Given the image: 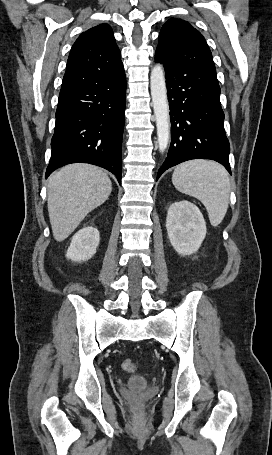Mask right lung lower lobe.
Instances as JSON below:
<instances>
[{
	"label": "right lung lower lobe",
	"instance_id": "obj_1",
	"mask_svg": "<svg viewBox=\"0 0 272 455\" xmlns=\"http://www.w3.org/2000/svg\"><path fill=\"white\" fill-rule=\"evenodd\" d=\"M125 73L59 95L46 178L75 162L103 167L121 184Z\"/></svg>",
	"mask_w": 272,
	"mask_h": 455
}]
</instances>
